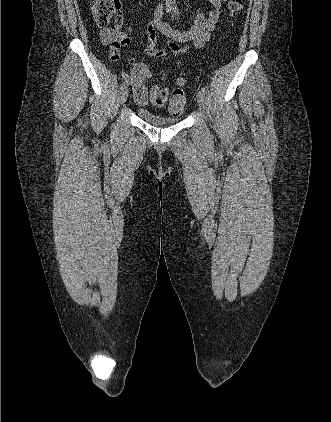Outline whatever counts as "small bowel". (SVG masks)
Segmentation results:
<instances>
[{"label": "small bowel", "instance_id": "small-bowel-1", "mask_svg": "<svg viewBox=\"0 0 331 422\" xmlns=\"http://www.w3.org/2000/svg\"><path fill=\"white\" fill-rule=\"evenodd\" d=\"M224 1L226 0H209L213 8L208 15L206 16L202 12H196L194 24L184 31L173 29L167 23L163 22V8L162 6H159L155 12L154 18L147 24L144 53L149 57L161 59L167 57L169 51L174 56H180L187 53L190 46L197 49L203 47L209 40L211 32L214 31L220 19ZM133 14L134 11L131 12L132 16ZM121 20L122 18L120 17V20L116 21V26L114 28L104 29L100 34L102 42L109 45V55L114 61L119 59L120 49L130 45L132 41V24L130 23L124 30H121ZM158 33H161L168 38L165 42L166 47L161 49H156L155 47ZM180 43H185L186 45L182 47L179 45ZM128 62L132 65L138 63L137 60L133 58L128 59ZM121 76L128 85L133 86L134 93L135 90L141 86V81L133 74L128 75L122 73ZM147 98L144 101H136L139 104H145ZM151 101L153 103L152 99Z\"/></svg>", "mask_w": 331, "mask_h": 422}]
</instances>
